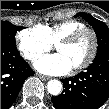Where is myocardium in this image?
I'll use <instances>...</instances> for the list:
<instances>
[{
    "label": "myocardium",
    "mask_w": 109,
    "mask_h": 109,
    "mask_svg": "<svg viewBox=\"0 0 109 109\" xmlns=\"http://www.w3.org/2000/svg\"><path fill=\"white\" fill-rule=\"evenodd\" d=\"M84 33H89L92 36V49H91V52H90L88 58L83 63L72 68V70H74V71L83 70V69L89 67L92 64V62L94 61L97 51H98V44H99L97 32L93 28L83 27V28L73 32L72 34L68 35L67 37L61 39L56 44V48L59 45H71L75 41H77Z\"/></svg>",
    "instance_id": "myocardium-1"
}]
</instances>
